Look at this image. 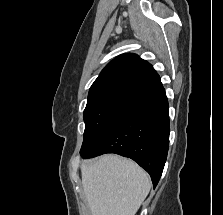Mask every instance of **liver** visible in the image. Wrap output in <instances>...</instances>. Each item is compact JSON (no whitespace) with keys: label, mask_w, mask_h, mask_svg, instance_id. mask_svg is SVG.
I'll list each match as a JSON object with an SVG mask.
<instances>
[{"label":"liver","mask_w":223,"mask_h":215,"mask_svg":"<svg viewBox=\"0 0 223 215\" xmlns=\"http://www.w3.org/2000/svg\"><path fill=\"white\" fill-rule=\"evenodd\" d=\"M82 185L93 215H135L152 183L138 163L105 153L82 163Z\"/></svg>","instance_id":"liver-1"}]
</instances>
